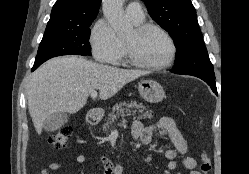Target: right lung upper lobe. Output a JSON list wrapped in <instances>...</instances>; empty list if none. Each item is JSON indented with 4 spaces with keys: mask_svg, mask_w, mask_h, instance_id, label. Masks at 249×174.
I'll return each instance as SVG.
<instances>
[{
    "mask_svg": "<svg viewBox=\"0 0 249 174\" xmlns=\"http://www.w3.org/2000/svg\"><path fill=\"white\" fill-rule=\"evenodd\" d=\"M101 0H58L51 11L45 31L72 27L94 20Z\"/></svg>",
    "mask_w": 249,
    "mask_h": 174,
    "instance_id": "1",
    "label": "right lung upper lobe"
}]
</instances>
